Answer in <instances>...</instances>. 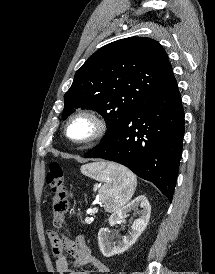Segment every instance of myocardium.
<instances>
[{"label":"myocardium","instance_id":"f54148a6","mask_svg":"<svg viewBox=\"0 0 215 274\" xmlns=\"http://www.w3.org/2000/svg\"><path fill=\"white\" fill-rule=\"evenodd\" d=\"M80 118H84V119H87L88 121H90L93 126V131L88 137H86L84 139L76 140L69 136L68 129H69L70 124L73 121L80 119ZM107 131H108V124H107L106 120L102 116H100L99 114H97L96 112L91 111V110H80V111L73 113L71 116L68 117V119L66 120L65 125H64L65 137L71 143H73L75 145H79V146L90 145V144L100 140L101 138H103L106 135Z\"/></svg>","mask_w":215,"mask_h":274}]
</instances>
